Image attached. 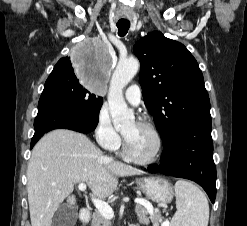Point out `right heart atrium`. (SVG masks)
<instances>
[{
  "label": "right heart atrium",
  "mask_w": 247,
  "mask_h": 226,
  "mask_svg": "<svg viewBox=\"0 0 247 226\" xmlns=\"http://www.w3.org/2000/svg\"><path fill=\"white\" fill-rule=\"evenodd\" d=\"M94 134L97 143L104 149L115 150L120 145V135L115 130L110 112L105 105L101 106L97 113Z\"/></svg>",
  "instance_id": "d8ad5b80"
}]
</instances>
